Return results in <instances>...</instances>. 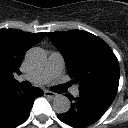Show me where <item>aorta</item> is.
Returning <instances> with one entry per match:
<instances>
[{"label":"aorta","mask_w":128,"mask_h":128,"mask_svg":"<svg viewBox=\"0 0 128 128\" xmlns=\"http://www.w3.org/2000/svg\"><path fill=\"white\" fill-rule=\"evenodd\" d=\"M26 61L31 66H41L46 61V55L41 48H31L26 53ZM70 100L64 95H56L53 100V109L58 114H64L70 110Z\"/></svg>","instance_id":"762f6f07"}]
</instances>
